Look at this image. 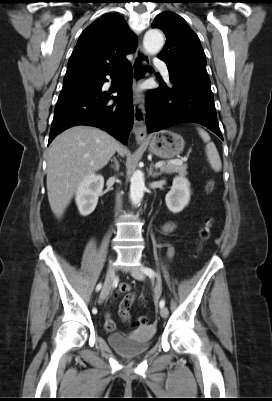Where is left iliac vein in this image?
I'll use <instances>...</instances> for the list:
<instances>
[{
	"mask_svg": "<svg viewBox=\"0 0 272 401\" xmlns=\"http://www.w3.org/2000/svg\"><path fill=\"white\" fill-rule=\"evenodd\" d=\"M131 275L132 277H134L137 280H144L145 275L143 273V271L140 268H133L131 270ZM168 309L166 307H161L160 308V315L162 318H167L168 317Z\"/></svg>",
	"mask_w": 272,
	"mask_h": 401,
	"instance_id": "1",
	"label": "left iliac vein"
}]
</instances>
